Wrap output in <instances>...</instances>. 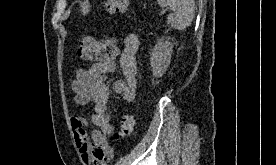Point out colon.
Listing matches in <instances>:
<instances>
[{
    "label": "colon",
    "mask_w": 276,
    "mask_h": 165,
    "mask_svg": "<svg viewBox=\"0 0 276 165\" xmlns=\"http://www.w3.org/2000/svg\"><path fill=\"white\" fill-rule=\"evenodd\" d=\"M130 5V0H105L104 9L109 14L125 12ZM80 58L88 61L103 62L112 60L118 53L116 38L96 40L89 36L81 37L77 46ZM135 120L132 114H123L120 117L119 129L111 138L119 139L130 136L134 130Z\"/></svg>",
    "instance_id": "obj_1"
}]
</instances>
